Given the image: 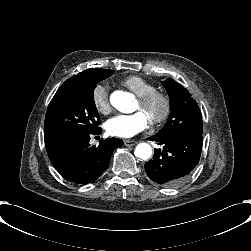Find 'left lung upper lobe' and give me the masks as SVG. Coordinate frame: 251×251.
Returning <instances> with one entry per match:
<instances>
[{
  "instance_id": "obj_1",
  "label": "left lung upper lobe",
  "mask_w": 251,
  "mask_h": 251,
  "mask_svg": "<svg viewBox=\"0 0 251 251\" xmlns=\"http://www.w3.org/2000/svg\"><path fill=\"white\" fill-rule=\"evenodd\" d=\"M170 97V116L165 126L155 134L159 138L179 133H203L202 115L196 101L187 89L172 78L162 82Z\"/></svg>"
}]
</instances>
